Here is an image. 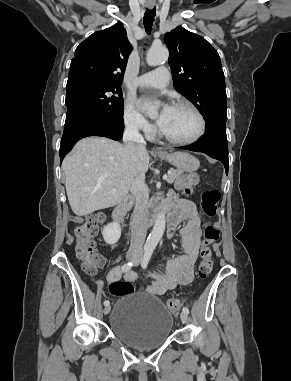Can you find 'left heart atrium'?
I'll return each instance as SVG.
<instances>
[{
  "label": "left heart atrium",
  "instance_id": "1",
  "mask_svg": "<svg viewBox=\"0 0 291 381\" xmlns=\"http://www.w3.org/2000/svg\"><path fill=\"white\" fill-rule=\"evenodd\" d=\"M171 109H172V107H170V106H168V105H166V106L163 108V110L161 111V113H160V115H159V117H158V120H157L159 126L162 124V122H163L165 116L170 112Z\"/></svg>",
  "mask_w": 291,
  "mask_h": 381
}]
</instances>
